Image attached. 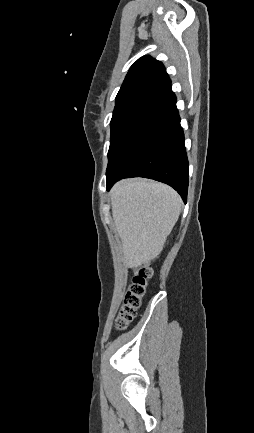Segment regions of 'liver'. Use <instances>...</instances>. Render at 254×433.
Segmentation results:
<instances>
[{
	"mask_svg": "<svg viewBox=\"0 0 254 433\" xmlns=\"http://www.w3.org/2000/svg\"><path fill=\"white\" fill-rule=\"evenodd\" d=\"M112 215L122 241L124 263L138 268L163 249L181 211L171 187L143 179L118 182L111 191Z\"/></svg>",
	"mask_w": 254,
	"mask_h": 433,
	"instance_id": "liver-1",
	"label": "liver"
}]
</instances>
